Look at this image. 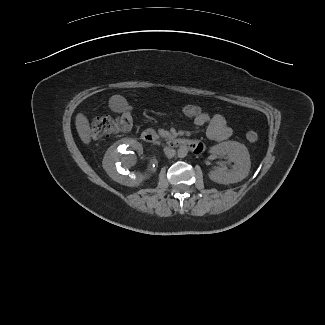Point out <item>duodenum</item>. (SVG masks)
<instances>
[{"mask_svg": "<svg viewBox=\"0 0 325 325\" xmlns=\"http://www.w3.org/2000/svg\"><path fill=\"white\" fill-rule=\"evenodd\" d=\"M142 140L146 143H153L156 141V134L153 130L151 129H147L144 130L142 132ZM171 145L177 147V148H188L190 146H192V148L194 147V144L191 143L189 140L187 139H183V138H178L175 137L171 140Z\"/></svg>", "mask_w": 325, "mask_h": 325, "instance_id": "1", "label": "duodenum"}]
</instances>
